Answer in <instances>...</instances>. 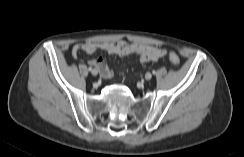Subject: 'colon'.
<instances>
[{"instance_id":"5ec220e1","label":"colon","mask_w":244,"mask_h":157,"mask_svg":"<svg viewBox=\"0 0 244 157\" xmlns=\"http://www.w3.org/2000/svg\"><path fill=\"white\" fill-rule=\"evenodd\" d=\"M168 58L170 60V62L174 65H179L180 64V58L178 57L177 54L173 53V52H170L168 54ZM142 59H145L144 56H142Z\"/></svg>"}]
</instances>
